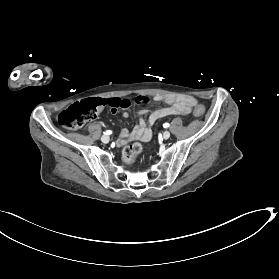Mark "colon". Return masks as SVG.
I'll use <instances>...</instances> for the list:
<instances>
[{"mask_svg":"<svg viewBox=\"0 0 279 279\" xmlns=\"http://www.w3.org/2000/svg\"><path fill=\"white\" fill-rule=\"evenodd\" d=\"M150 99L146 96H136L134 98H95L87 99L75 103L60 112L58 121L68 129L81 128L88 121L93 120L98 113L105 107L109 106L115 109L129 108L135 104H147ZM205 109L202 105L197 104L194 107L193 114L195 117H202ZM142 150L140 144L135 143L127 147L123 152L125 163H131Z\"/></svg>","mask_w":279,"mask_h":279,"instance_id":"5ec220e1","label":"colon"}]
</instances>
